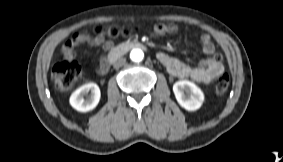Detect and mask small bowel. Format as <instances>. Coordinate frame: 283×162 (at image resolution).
<instances>
[{
  "label": "small bowel",
  "mask_w": 283,
  "mask_h": 162,
  "mask_svg": "<svg viewBox=\"0 0 283 162\" xmlns=\"http://www.w3.org/2000/svg\"><path fill=\"white\" fill-rule=\"evenodd\" d=\"M177 31V26L172 23L157 24L153 28L154 35L171 34ZM202 49L209 57L200 61L198 66H190L177 58L171 57L167 53L160 52L157 54L158 60L166 67L167 71L178 78H191L192 80L210 84L216 77L224 71V66L220 56L215 54V46L208 34H203L200 37ZM88 45L92 47L103 46L102 55L99 57V66L96 67V76L105 77L110 71L109 51L116 49L114 42L106 41L103 35L91 36L88 33H75L63 45L62 54L65 60L75 61L76 55L74 49L79 45ZM107 48V49H106Z\"/></svg>",
  "instance_id": "c3829d8e"
}]
</instances>
